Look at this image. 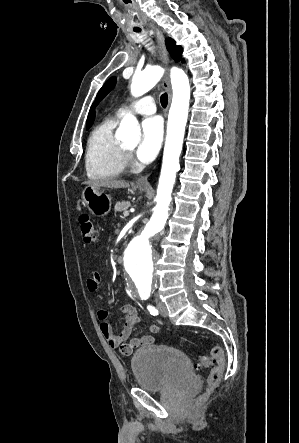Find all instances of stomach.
Returning a JSON list of instances; mask_svg holds the SVG:
<instances>
[{
	"label": "stomach",
	"mask_w": 299,
	"mask_h": 443,
	"mask_svg": "<svg viewBox=\"0 0 299 443\" xmlns=\"http://www.w3.org/2000/svg\"><path fill=\"white\" fill-rule=\"evenodd\" d=\"M140 191H144L145 187H137ZM84 205L90 212L98 217L106 216L112 206L110 195L106 194L100 187L86 186L82 192Z\"/></svg>",
	"instance_id": "obj_1"
}]
</instances>
